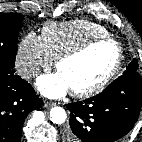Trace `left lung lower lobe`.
Wrapping results in <instances>:
<instances>
[{
  "label": "left lung lower lobe",
  "instance_id": "1",
  "mask_svg": "<svg viewBox=\"0 0 142 142\" xmlns=\"http://www.w3.org/2000/svg\"><path fill=\"white\" fill-rule=\"evenodd\" d=\"M141 106V76L123 74L96 96L66 105L71 113L65 142L120 141L133 128Z\"/></svg>",
  "mask_w": 142,
  "mask_h": 142
}]
</instances>
